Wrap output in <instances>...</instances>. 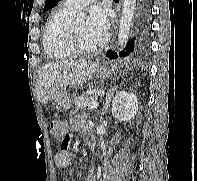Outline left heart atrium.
Masks as SVG:
<instances>
[{
    "label": "left heart atrium",
    "mask_w": 197,
    "mask_h": 181,
    "mask_svg": "<svg viewBox=\"0 0 197 181\" xmlns=\"http://www.w3.org/2000/svg\"><path fill=\"white\" fill-rule=\"evenodd\" d=\"M87 28L95 38L102 42L109 30L107 13L98 6L92 7L87 20Z\"/></svg>",
    "instance_id": "obj_1"
}]
</instances>
